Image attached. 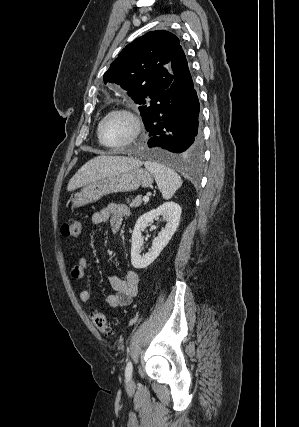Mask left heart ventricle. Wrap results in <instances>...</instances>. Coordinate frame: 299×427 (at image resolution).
I'll return each instance as SVG.
<instances>
[{
	"mask_svg": "<svg viewBox=\"0 0 299 427\" xmlns=\"http://www.w3.org/2000/svg\"><path fill=\"white\" fill-rule=\"evenodd\" d=\"M132 131V124L126 116L114 114L103 123L101 138L107 144L117 145L128 140Z\"/></svg>",
	"mask_w": 299,
	"mask_h": 427,
	"instance_id": "left-heart-ventricle-1",
	"label": "left heart ventricle"
}]
</instances>
